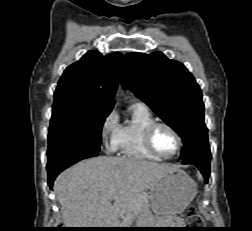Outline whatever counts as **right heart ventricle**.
<instances>
[{"label":"right heart ventricle","instance_id":"right-heart-ventricle-1","mask_svg":"<svg viewBox=\"0 0 252 231\" xmlns=\"http://www.w3.org/2000/svg\"><path fill=\"white\" fill-rule=\"evenodd\" d=\"M153 122H155V118L145 105H133L130 119L119 126L115 139V150L127 157L159 160L147 150L144 143L145 130Z\"/></svg>","mask_w":252,"mask_h":231}]
</instances>
